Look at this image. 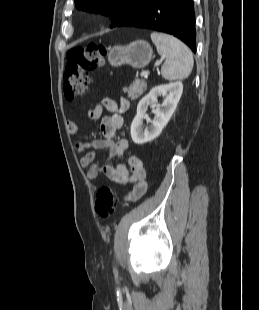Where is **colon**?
<instances>
[{
	"label": "colon",
	"instance_id": "obj_1",
	"mask_svg": "<svg viewBox=\"0 0 259 310\" xmlns=\"http://www.w3.org/2000/svg\"><path fill=\"white\" fill-rule=\"evenodd\" d=\"M105 46L90 43L75 47L67 54L64 90L68 98L82 97L87 93L89 73L102 66ZM118 200L116 192L110 186L101 187L95 199V211L103 219L114 214Z\"/></svg>",
	"mask_w": 259,
	"mask_h": 310
}]
</instances>
